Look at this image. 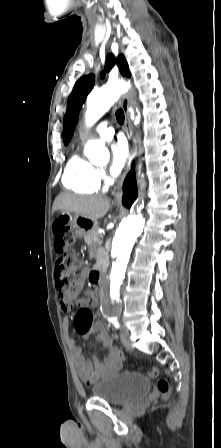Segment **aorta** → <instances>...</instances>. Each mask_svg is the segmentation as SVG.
Returning a JSON list of instances; mask_svg holds the SVG:
<instances>
[{
  "mask_svg": "<svg viewBox=\"0 0 221 448\" xmlns=\"http://www.w3.org/2000/svg\"><path fill=\"white\" fill-rule=\"evenodd\" d=\"M128 89L124 81L107 83L105 86L92 92L87 98L85 121L87 126L93 125L114 102ZM85 155L93 164L104 165L109 160V151L101 141L90 140L84 149ZM144 219L140 215L131 214L124 218L115 232L111 246L113 257L109 275V282L105 287V296L109 299V306L115 305L120 295L130 253L136 238L142 233Z\"/></svg>",
  "mask_w": 221,
  "mask_h": 448,
  "instance_id": "aorta-1",
  "label": "aorta"
}]
</instances>
